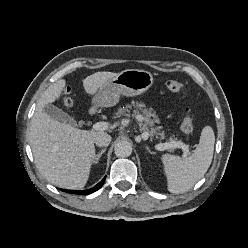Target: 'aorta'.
Returning <instances> with one entry per match:
<instances>
[{"mask_svg":"<svg viewBox=\"0 0 248 248\" xmlns=\"http://www.w3.org/2000/svg\"><path fill=\"white\" fill-rule=\"evenodd\" d=\"M114 153L117 157H128L132 153V146L127 141H119L114 147Z\"/></svg>","mask_w":248,"mask_h":248,"instance_id":"aorta-1","label":"aorta"}]
</instances>
